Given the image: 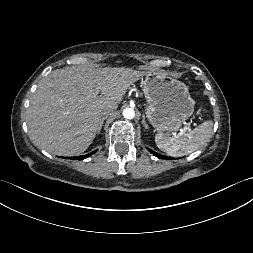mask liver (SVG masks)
Instances as JSON below:
<instances>
[{
    "instance_id": "obj_1",
    "label": "liver",
    "mask_w": 253,
    "mask_h": 253,
    "mask_svg": "<svg viewBox=\"0 0 253 253\" xmlns=\"http://www.w3.org/2000/svg\"><path fill=\"white\" fill-rule=\"evenodd\" d=\"M144 74L124 68L52 71L39 84L28 108L32 139L55 155L83 153L98 132L102 110L111 104L118 107L130 86Z\"/></svg>"
}]
</instances>
